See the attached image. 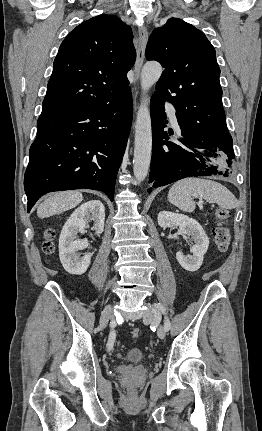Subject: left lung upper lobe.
Here are the masks:
<instances>
[{
    "label": "left lung upper lobe",
    "mask_w": 262,
    "mask_h": 431,
    "mask_svg": "<svg viewBox=\"0 0 262 431\" xmlns=\"http://www.w3.org/2000/svg\"><path fill=\"white\" fill-rule=\"evenodd\" d=\"M146 58L165 68L154 94L174 105L180 128L208 139L229 133L216 52L202 31L171 18L151 34Z\"/></svg>",
    "instance_id": "5c2ea615"
}]
</instances>
